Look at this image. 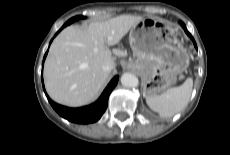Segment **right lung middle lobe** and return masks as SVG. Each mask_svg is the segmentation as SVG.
Instances as JSON below:
<instances>
[{
	"label": "right lung middle lobe",
	"mask_w": 230,
	"mask_h": 155,
	"mask_svg": "<svg viewBox=\"0 0 230 155\" xmlns=\"http://www.w3.org/2000/svg\"><path fill=\"white\" fill-rule=\"evenodd\" d=\"M80 18H84V17L83 16H75V17L71 18L70 20H68L64 25H69L72 22H74V21H76V20H78Z\"/></svg>",
	"instance_id": "right-lung-middle-lobe-1"
}]
</instances>
